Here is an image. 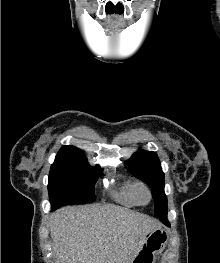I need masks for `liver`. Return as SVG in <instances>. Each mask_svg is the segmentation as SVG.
<instances>
[{
  "label": "liver",
  "instance_id": "6515ba94",
  "mask_svg": "<svg viewBox=\"0 0 220 263\" xmlns=\"http://www.w3.org/2000/svg\"><path fill=\"white\" fill-rule=\"evenodd\" d=\"M161 224L115 205L67 206L50 216L56 263H131Z\"/></svg>",
  "mask_w": 220,
  "mask_h": 263
}]
</instances>
